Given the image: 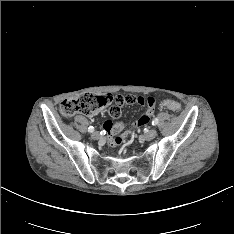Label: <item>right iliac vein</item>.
I'll return each instance as SVG.
<instances>
[{"label": "right iliac vein", "mask_w": 234, "mask_h": 234, "mask_svg": "<svg viewBox=\"0 0 234 234\" xmlns=\"http://www.w3.org/2000/svg\"><path fill=\"white\" fill-rule=\"evenodd\" d=\"M91 136H92V138L95 139V140H97V139L100 138V134H99L98 132H93Z\"/></svg>", "instance_id": "63e3f726"}]
</instances>
